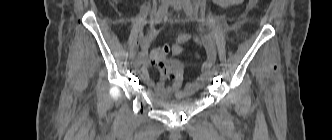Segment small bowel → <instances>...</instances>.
I'll list each match as a JSON object with an SVG mask.
<instances>
[{
	"label": "small bowel",
	"mask_w": 332,
	"mask_h": 140,
	"mask_svg": "<svg viewBox=\"0 0 332 140\" xmlns=\"http://www.w3.org/2000/svg\"><path fill=\"white\" fill-rule=\"evenodd\" d=\"M213 3L217 6L224 8H230L240 5L244 0H212ZM194 39L203 49L205 53V60L202 64L201 75L194 81L187 83L184 87L183 84V73L180 67L170 66L165 67L163 65L164 60H159L157 58L158 49H154L150 53L149 60H146L141 69L140 76L147 83L148 86L152 87L157 95L160 97H171L175 96L176 98H181L185 95L196 92L200 89L210 78V69L215 63L217 58V52L213 44L212 38L209 36L203 37H193L189 33H182L178 35L171 47L170 51L173 55L177 56L183 53V45L189 40ZM150 65H156L160 68V79L158 82H155L150 77L148 67ZM171 79L169 84H166V81Z\"/></svg>",
	"instance_id": "obj_1"
}]
</instances>
